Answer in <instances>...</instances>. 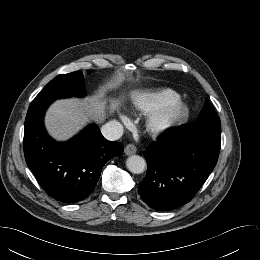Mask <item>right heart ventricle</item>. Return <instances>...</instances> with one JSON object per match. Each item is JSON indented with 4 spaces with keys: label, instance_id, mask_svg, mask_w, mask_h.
<instances>
[{
    "label": "right heart ventricle",
    "instance_id": "obj_1",
    "mask_svg": "<svg viewBox=\"0 0 260 260\" xmlns=\"http://www.w3.org/2000/svg\"><path fill=\"white\" fill-rule=\"evenodd\" d=\"M176 97H179L178 93L168 88L159 90L138 91L132 95L131 103L136 110L142 113H149L161 104L170 101Z\"/></svg>",
    "mask_w": 260,
    "mask_h": 260
}]
</instances>
